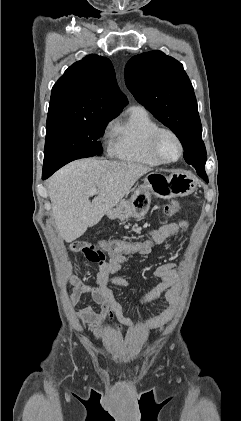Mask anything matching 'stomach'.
Returning a JSON list of instances; mask_svg holds the SVG:
<instances>
[{
  "instance_id": "obj_1",
  "label": "stomach",
  "mask_w": 241,
  "mask_h": 421,
  "mask_svg": "<svg viewBox=\"0 0 241 421\" xmlns=\"http://www.w3.org/2000/svg\"><path fill=\"white\" fill-rule=\"evenodd\" d=\"M196 186V179L187 172L176 171L169 175L160 171L151 172L145 177L144 183L135 189L131 199L121 201L107 216L121 221L130 217L140 220L150 209L151 192L160 198L171 199L193 193Z\"/></svg>"
}]
</instances>
